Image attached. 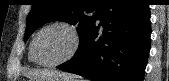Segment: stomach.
<instances>
[{
  "instance_id": "obj_1",
  "label": "stomach",
  "mask_w": 169,
  "mask_h": 81,
  "mask_svg": "<svg viewBox=\"0 0 169 81\" xmlns=\"http://www.w3.org/2000/svg\"><path fill=\"white\" fill-rule=\"evenodd\" d=\"M32 81H76V80L66 79V78H61V77H51V78L37 79V80H32Z\"/></svg>"
}]
</instances>
